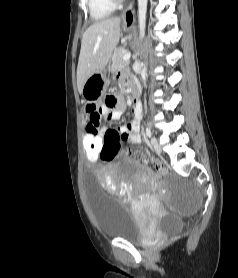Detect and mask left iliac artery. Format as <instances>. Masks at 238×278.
Returning a JSON list of instances; mask_svg holds the SVG:
<instances>
[{"label": "left iliac artery", "mask_w": 238, "mask_h": 278, "mask_svg": "<svg viewBox=\"0 0 238 278\" xmlns=\"http://www.w3.org/2000/svg\"><path fill=\"white\" fill-rule=\"evenodd\" d=\"M146 135H147L148 137H151V135H152L151 130H150L149 127H146Z\"/></svg>", "instance_id": "obj_1"}]
</instances>
